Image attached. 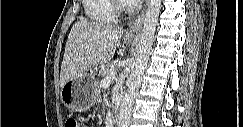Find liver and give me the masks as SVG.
Masks as SVG:
<instances>
[{
    "instance_id": "6515ba94",
    "label": "liver",
    "mask_w": 243,
    "mask_h": 127,
    "mask_svg": "<svg viewBox=\"0 0 243 127\" xmlns=\"http://www.w3.org/2000/svg\"><path fill=\"white\" fill-rule=\"evenodd\" d=\"M124 29L102 22L77 21L68 36L60 86L86 71L108 63L115 55Z\"/></svg>"
}]
</instances>
